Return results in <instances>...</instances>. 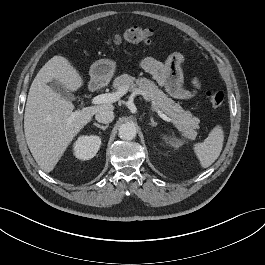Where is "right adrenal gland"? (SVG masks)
<instances>
[{
    "label": "right adrenal gland",
    "instance_id": "obj_1",
    "mask_svg": "<svg viewBox=\"0 0 265 265\" xmlns=\"http://www.w3.org/2000/svg\"><path fill=\"white\" fill-rule=\"evenodd\" d=\"M94 126H96L97 128H100L103 131L108 128V125L103 126V125H100V124H98L96 122H94Z\"/></svg>",
    "mask_w": 265,
    "mask_h": 265
}]
</instances>
